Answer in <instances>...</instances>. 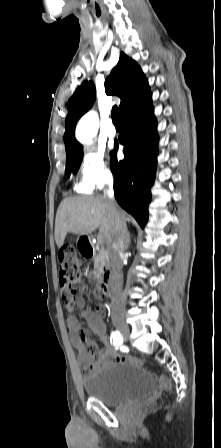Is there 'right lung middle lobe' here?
Wrapping results in <instances>:
<instances>
[{
  "label": "right lung middle lobe",
  "mask_w": 221,
  "mask_h": 448,
  "mask_svg": "<svg viewBox=\"0 0 221 448\" xmlns=\"http://www.w3.org/2000/svg\"><path fill=\"white\" fill-rule=\"evenodd\" d=\"M82 158H83V151L78 154L67 157L66 170H65L66 175L70 176L71 173L73 174L77 173L80 164L82 162Z\"/></svg>",
  "instance_id": "right-lung-middle-lobe-1"
}]
</instances>
